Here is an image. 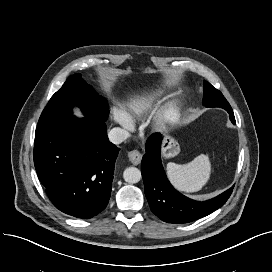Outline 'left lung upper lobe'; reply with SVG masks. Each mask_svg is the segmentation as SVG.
<instances>
[{
	"label": "left lung upper lobe",
	"instance_id": "obj_1",
	"mask_svg": "<svg viewBox=\"0 0 272 272\" xmlns=\"http://www.w3.org/2000/svg\"><path fill=\"white\" fill-rule=\"evenodd\" d=\"M203 105L206 107H221L225 110L232 109L222 93L207 81H204Z\"/></svg>",
	"mask_w": 272,
	"mask_h": 272
}]
</instances>
